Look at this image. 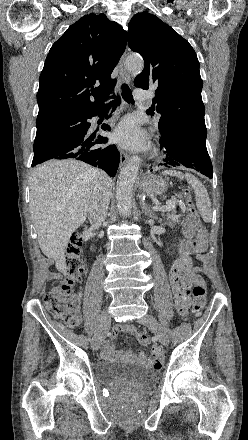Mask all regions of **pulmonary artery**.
Segmentation results:
<instances>
[{"label":"pulmonary artery","mask_w":248,"mask_h":440,"mask_svg":"<svg viewBox=\"0 0 248 440\" xmlns=\"http://www.w3.org/2000/svg\"><path fill=\"white\" fill-rule=\"evenodd\" d=\"M135 98L137 100L144 101L148 98V95L144 90L136 89L135 90Z\"/></svg>","instance_id":"1"}]
</instances>
